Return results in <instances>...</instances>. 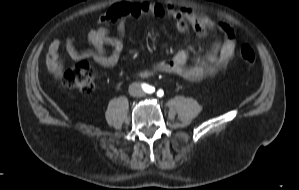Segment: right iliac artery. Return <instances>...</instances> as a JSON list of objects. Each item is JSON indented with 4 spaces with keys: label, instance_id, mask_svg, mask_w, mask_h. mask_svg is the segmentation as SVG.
Wrapping results in <instances>:
<instances>
[{
    "label": "right iliac artery",
    "instance_id": "right-iliac-artery-1",
    "mask_svg": "<svg viewBox=\"0 0 299 190\" xmlns=\"http://www.w3.org/2000/svg\"><path fill=\"white\" fill-rule=\"evenodd\" d=\"M142 87L144 89V91H146L147 93H153L155 91V88L148 85V84H142Z\"/></svg>",
    "mask_w": 299,
    "mask_h": 190
}]
</instances>
